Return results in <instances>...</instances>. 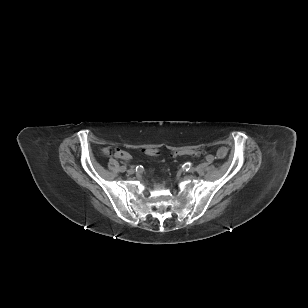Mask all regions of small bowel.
<instances>
[{
    "label": "small bowel",
    "instance_id": "small-bowel-1",
    "mask_svg": "<svg viewBox=\"0 0 308 308\" xmlns=\"http://www.w3.org/2000/svg\"><path fill=\"white\" fill-rule=\"evenodd\" d=\"M226 154H227V149H226V148H220V149L218 150V152H217V156H218L219 158L225 157Z\"/></svg>",
    "mask_w": 308,
    "mask_h": 308
}]
</instances>
